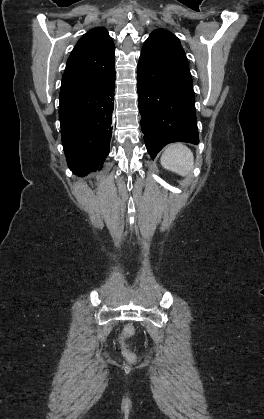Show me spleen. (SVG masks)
<instances>
[{"instance_id":"obj_1","label":"spleen","mask_w":264,"mask_h":419,"mask_svg":"<svg viewBox=\"0 0 264 419\" xmlns=\"http://www.w3.org/2000/svg\"><path fill=\"white\" fill-rule=\"evenodd\" d=\"M161 165L181 176L191 174L194 165L192 151L182 143L170 144L160 159Z\"/></svg>"}]
</instances>
